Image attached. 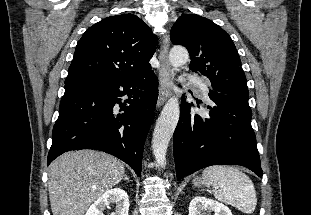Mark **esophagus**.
<instances>
[{"mask_svg":"<svg viewBox=\"0 0 311 215\" xmlns=\"http://www.w3.org/2000/svg\"><path fill=\"white\" fill-rule=\"evenodd\" d=\"M170 39L167 34L163 35L162 45L159 51V96L157 107L159 108L170 95L172 89V76L173 72L168 60Z\"/></svg>","mask_w":311,"mask_h":215,"instance_id":"34e87169","label":"esophagus"}]
</instances>
